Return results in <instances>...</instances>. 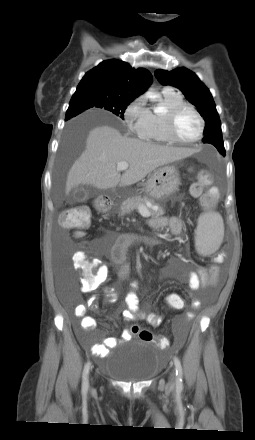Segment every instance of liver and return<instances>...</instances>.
<instances>
[{
  "label": "liver",
  "instance_id": "obj_1",
  "mask_svg": "<svg viewBox=\"0 0 255 440\" xmlns=\"http://www.w3.org/2000/svg\"><path fill=\"white\" fill-rule=\"evenodd\" d=\"M191 148L155 145L138 139L123 137L109 126L92 129L81 156L71 167L66 181V194L79 185L98 189L130 186L165 164L188 157ZM127 162L129 169L122 175L117 164Z\"/></svg>",
  "mask_w": 255,
  "mask_h": 440
}]
</instances>
